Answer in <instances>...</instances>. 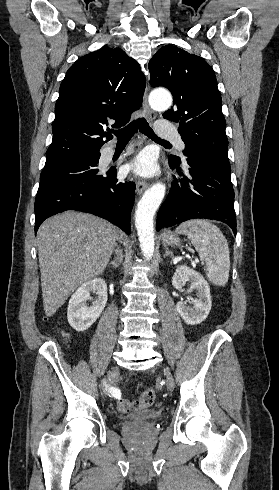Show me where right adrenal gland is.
I'll use <instances>...</instances> for the list:
<instances>
[{
  "mask_svg": "<svg viewBox=\"0 0 279 490\" xmlns=\"http://www.w3.org/2000/svg\"><path fill=\"white\" fill-rule=\"evenodd\" d=\"M122 258H123L122 252H119L118 260H113V262H110L108 266H112V268L116 270V268H119L120 264H122Z\"/></svg>",
  "mask_w": 279,
  "mask_h": 490,
  "instance_id": "1",
  "label": "right adrenal gland"
}]
</instances>
